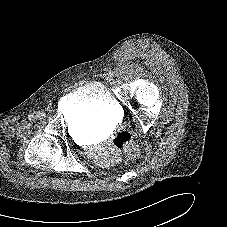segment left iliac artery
I'll use <instances>...</instances> for the list:
<instances>
[{
    "label": "left iliac artery",
    "instance_id": "obj_1",
    "mask_svg": "<svg viewBox=\"0 0 227 227\" xmlns=\"http://www.w3.org/2000/svg\"><path fill=\"white\" fill-rule=\"evenodd\" d=\"M108 75H109L110 77H113V76H114V72H113V71H109V72H108Z\"/></svg>",
    "mask_w": 227,
    "mask_h": 227
}]
</instances>
